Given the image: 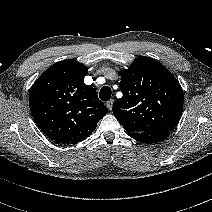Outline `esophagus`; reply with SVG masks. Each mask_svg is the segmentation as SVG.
<instances>
[{
  "mask_svg": "<svg viewBox=\"0 0 212 212\" xmlns=\"http://www.w3.org/2000/svg\"><path fill=\"white\" fill-rule=\"evenodd\" d=\"M106 106L109 110H112V107H113V100H109L107 103H106Z\"/></svg>",
  "mask_w": 212,
  "mask_h": 212,
  "instance_id": "esophagus-1",
  "label": "esophagus"
}]
</instances>
